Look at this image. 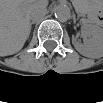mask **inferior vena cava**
<instances>
[{
  "label": "inferior vena cava",
  "mask_w": 103,
  "mask_h": 103,
  "mask_svg": "<svg viewBox=\"0 0 103 103\" xmlns=\"http://www.w3.org/2000/svg\"><path fill=\"white\" fill-rule=\"evenodd\" d=\"M45 13H46L45 8H38L31 11L29 17L34 21L41 20L45 16Z\"/></svg>",
  "instance_id": "602c4592"
}]
</instances>
